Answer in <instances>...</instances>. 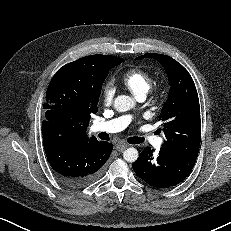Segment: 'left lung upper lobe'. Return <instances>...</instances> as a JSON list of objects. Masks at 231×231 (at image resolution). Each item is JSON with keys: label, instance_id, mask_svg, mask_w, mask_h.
<instances>
[{"label": "left lung upper lobe", "instance_id": "obj_1", "mask_svg": "<svg viewBox=\"0 0 231 231\" xmlns=\"http://www.w3.org/2000/svg\"><path fill=\"white\" fill-rule=\"evenodd\" d=\"M144 58L155 59L163 65L171 86L168 100L160 114L166 137L161 149L172 154L197 158L201 140L200 105L190 74L170 56L147 53L136 60Z\"/></svg>", "mask_w": 231, "mask_h": 231}]
</instances>
